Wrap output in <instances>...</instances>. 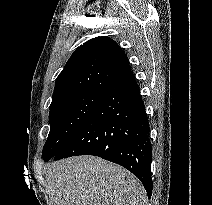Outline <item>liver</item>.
Wrapping results in <instances>:
<instances>
[{
    "mask_svg": "<svg viewBox=\"0 0 212 205\" xmlns=\"http://www.w3.org/2000/svg\"><path fill=\"white\" fill-rule=\"evenodd\" d=\"M52 205H144L146 192L121 166L94 156H76L48 166Z\"/></svg>",
    "mask_w": 212,
    "mask_h": 205,
    "instance_id": "liver-1",
    "label": "liver"
}]
</instances>
